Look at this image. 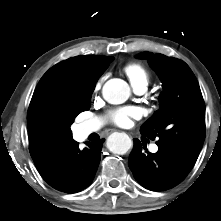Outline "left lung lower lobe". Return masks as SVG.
Here are the masks:
<instances>
[{
  "mask_svg": "<svg viewBox=\"0 0 221 221\" xmlns=\"http://www.w3.org/2000/svg\"><path fill=\"white\" fill-rule=\"evenodd\" d=\"M134 144L129 167L136 180L148 190L164 191L173 188L192 169L166 149L159 148L156 153H144L145 145L138 139H134Z\"/></svg>",
  "mask_w": 221,
  "mask_h": 221,
  "instance_id": "left-lung-lower-lobe-1",
  "label": "left lung lower lobe"
}]
</instances>
